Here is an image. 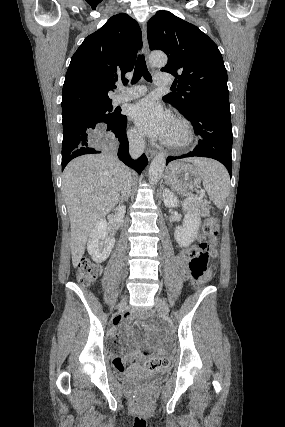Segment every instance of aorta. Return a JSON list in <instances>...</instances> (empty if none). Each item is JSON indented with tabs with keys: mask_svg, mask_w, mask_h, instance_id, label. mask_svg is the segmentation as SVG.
I'll list each match as a JSON object with an SVG mask.
<instances>
[{
	"mask_svg": "<svg viewBox=\"0 0 285 427\" xmlns=\"http://www.w3.org/2000/svg\"><path fill=\"white\" fill-rule=\"evenodd\" d=\"M149 62L154 67H163L167 63V56L163 52H152L149 56ZM165 164V154L163 152L158 153L152 160L149 167L148 179L150 184L154 185L160 180L165 168Z\"/></svg>",
	"mask_w": 285,
	"mask_h": 427,
	"instance_id": "762f6f07",
	"label": "aorta"
}]
</instances>
